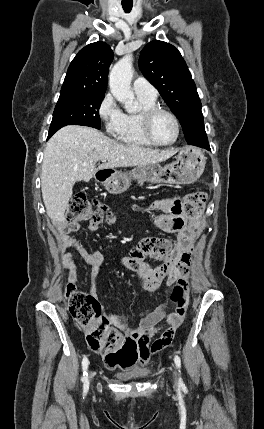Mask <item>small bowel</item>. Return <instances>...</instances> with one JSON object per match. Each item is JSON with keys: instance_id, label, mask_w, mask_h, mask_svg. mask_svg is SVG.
<instances>
[{"instance_id": "obj_1", "label": "small bowel", "mask_w": 264, "mask_h": 429, "mask_svg": "<svg viewBox=\"0 0 264 429\" xmlns=\"http://www.w3.org/2000/svg\"><path fill=\"white\" fill-rule=\"evenodd\" d=\"M181 201L178 197L156 200L151 207L159 212L154 217L155 225L167 232H176L174 243L166 239L144 238L129 253L121 258L120 263L127 269L139 274L142 285L147 289H157L166 281L167 286L175 282L188 283L191 253L194 245V235L187 225V219L180 210ZM99 222L91 220L89 229L97 230ZM80 229L79 222H71L66 227H60L57 232L58 244L62 252L74 249L91 269V282L88 294L97 299L96 283L99 268L107 261L106 256L98 250L89 251L72 234ZM150 256L162 258V263L153 268L145 259ZM67 263L75 265V255L66 253ZM77 278V276H76ZM166 303L144 312L140 320L129 325L130 311L117 320L127 335L137 343V359L139 366H145L156 353L168 347L175 331L183 322L184 312H166ZM161 331L158 338L153 336Z\"/></svg>"}]
</instances>
